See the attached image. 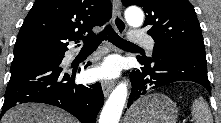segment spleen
Segmentation results:
<instances>
[{
    "mask_svg": "<svg viewBox=\"0 0 221 123\" xmlns=\"http://www.w3.org/2000/svg\"><path fill=\"white\" fill-rule=\"evenodd\" d=\"M191 114L194 123H213V118L208 104L202 97L194 100Z\"/></svg>",
    "mask_w": 221,
    "mask_h": 123,
    "instance_id": "obj_1",
    "label": "spleen"
}]
</instances>
